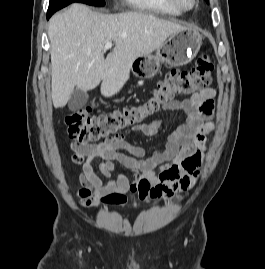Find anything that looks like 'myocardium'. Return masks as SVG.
I'll return each mask as SVG.
<instances>
[{"label": "myocardium", "instance_id": "myocardium-1", "mask_svg": "<svg viewBox=\"0 0 265 269\" xmlns=\"http://www.w3.org/2000/svg\"><path fill=\"white\" fill-rule=\"evenodd\" d=\"M171 6L178 9L181 12H186L192 10L197 0H191L189 5L184 4L181 0H166Z\"/></svg>", "mask_w": 265, "mask_h": 269}]
</instances>
